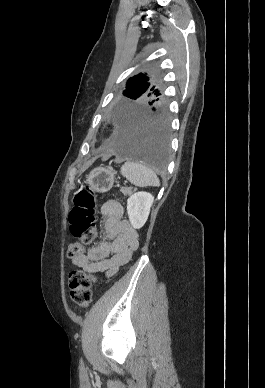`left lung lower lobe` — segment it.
<instances>
[{
	"label": "left lung lower lobe",
	"instance_id": "0a47b994",
	"mask_svg": "<svg viewBox=\"0 0 265 388\" xmlns=\"http://www.w3.org/2000/svg\"><path fill=\"white\" fill-rule=\"evenodd\" d=\"M116 123V130L106 144L108 150L156 171L165 169L170 131L169 117L164 107L120 108Z\"/></svg>",
	"mask_w": 265,
	"mask_h": 388
}]
</instances>
